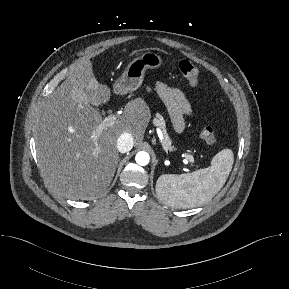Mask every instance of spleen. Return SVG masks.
Here are the masks:
<instances>
[{
    "label": "spleen",
    "mask_w": 289,
    "mask_h": 289,
    "mask_svg": "<svg viewBox=\"0 0 289 289\" xmlns=\"http://www.w3.org/2000/svg\"><path fill=\"white\" fill-rule=\"evenodd\" d=\"M234 162L231 149L218 152L211 166L188 174H164L156 182L158 197L178 208H193L210 201L225 184Z\"/></svg>",
    "instance_id": "spleen-1"
}]
</instances>
